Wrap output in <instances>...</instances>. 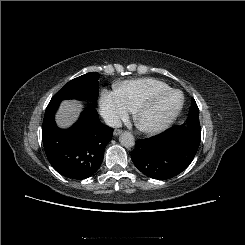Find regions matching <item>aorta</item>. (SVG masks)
I'll return each mask as SVG.
<instances>
[{
  "instance_id": "obj_1",
  "label": "aorta",
  "mask_w": 245,
  "mask_h": 245,
  "mask_svg": "<svg viewBox=\"0 0 245 245\" xmlns=\"http://www.w3.org/2000/svg\"><path fill=\"white\" fill-rule=\"evenodd\" d=\"M119 142L122 146L129 148L134 146L135 138L130 132H123L119 137Z\"/></svg>"
}]
</instances>
